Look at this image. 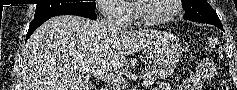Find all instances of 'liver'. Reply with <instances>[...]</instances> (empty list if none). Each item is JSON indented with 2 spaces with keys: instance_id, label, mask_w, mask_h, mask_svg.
<instances>
[{
  "instance_id": "1",
  "label": "liver",
  "mask_w": 237,
  "mask_h": 90,
  "mask_svg": "<svg viewBox=\"0 0 237 90\" xmlns=\"http://www.w3.org/2000/svg\"><path fill=\"white\" fill-rule=\"evenodd\" d=\"M99 20L56 16L27 40L22 58L24 90H93V76L123 68L124 54L140 52L154 30L106 32Z\"/></svg>"
}]
</instances>
